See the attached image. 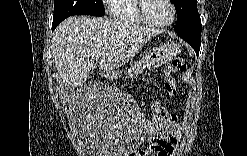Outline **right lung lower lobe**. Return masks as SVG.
Wrapping results in <instances>:
<instances>
[{"label": "right lung lower lobe", "instance_id": "right-lung-lower-lobe-1", "mask_svg": "<svg viewBox=\"0 0 247 156\" xmlns=\"http://www.w3.org/2000/svg\"><path fill=\"white\" fill-rule=\"evenodd\" d=\"M58 24H52V30H54L57 27Z\"/></svg>", "mask_w": 247, "mask_h": 156}]
</instances>
